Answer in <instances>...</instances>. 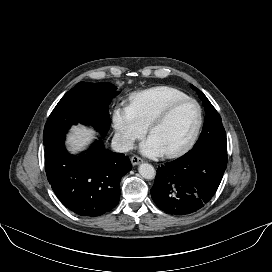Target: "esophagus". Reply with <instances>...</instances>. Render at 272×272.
I'll return each mask as SVG.
<instances>
[{
  "mask_svg": "<svg viewBox=\"0 0 272 272\" xmlns=\"http://www.w3.org/2000/svg\"><path fill=\"white\" fill-rule=\"evenodd\" d=\"M141 162H142V159L139 158L138 156L134 155V156L131 157V163L133 165H138Z\"/></svg>",
  "mask_w": 272,
  "mask_h": 272,
  "instance_id": "esophagus-1",
  "label": "esophagus"
}]
</instances>
